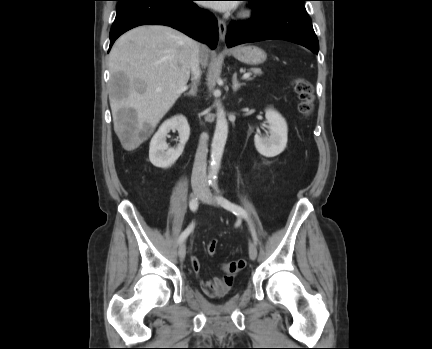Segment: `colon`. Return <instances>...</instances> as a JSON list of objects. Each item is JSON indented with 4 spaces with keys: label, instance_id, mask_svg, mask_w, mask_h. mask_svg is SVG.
<instances>
[{
    "label": "colon",
    "instance_id": "colon-1",
    "mask_svg": "<svg viewBox=\"0 0 432 349\" xmlns=\"http://www.w3.org/2000/svg\"><path fill=\"white\" fill-rule=\"evenodd\" d=\"M294 90L299 98V112L304 116H309L313 111L314 105V89L312 84L304 78L298 77L293 81ZM218 243L212 240L208 244V253L214 255L216 253ZM246 265L245 260L239 259L228 262L224 265L225 274L229 277H234Z\"/></svg>",
    "mask_w": 432,
    "mask_h": 349
}]
</instances>
